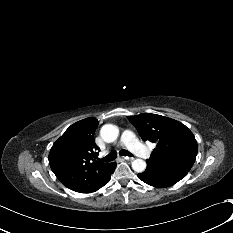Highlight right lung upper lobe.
Listing matches in <instances>:
<instances>
[{
    "label": "right lung upper lobe",
    "instance_id": "cb5924a9",
    "mask_svg": "<svg viewBox=\"0 0 233 233\" xmlns=\"http://www.w3.org/2000/svg\"><path fill=\"white\" fill-rule=\"evenodd\" d=\"M98 121L94 117L71 125L53 144L49 153V164L67 188L80 192H93L104 181L114 163L96 161L99 148L94 133Z\"/></svg>",
    "mask_w": 233,
    "mask_h": 233
}]
</instances>
